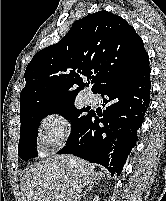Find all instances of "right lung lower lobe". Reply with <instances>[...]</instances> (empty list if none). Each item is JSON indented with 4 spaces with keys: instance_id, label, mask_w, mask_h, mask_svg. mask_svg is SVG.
<instances>
[{
    "instance_id": "1",
    "label": "right lung lower lobe",
    "mask_w": 166,
    "mask_h": 201,
    "mask_svg": "<svg viewBox=\"0 0 166 201\" xmlns=\"http://www.w3.org/2000/svg\"><path fill=\"white\" fill-rule=\"evenodd\" d=\"M149 57L102 84L95 93L102 95L106 110L91 111L88 119L57 153L73 154L106 167L120 175L131 149L136 145L150 102ZM105 96V97H104Z\"/></svg>"
}]
</instances>
